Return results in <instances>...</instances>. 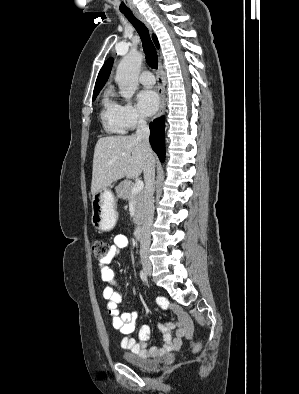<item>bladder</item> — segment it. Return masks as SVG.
Wrapping results in <instances>:
<instances>
[{
	"label": "bladder",
	"mask_w": 299,
	"mask_h": 394,
	"mask_svg": "<svg viewBox=\"0 0 299 394\" xmlns=\"http://www.w3.org/2000/svg\"><path fill=\"white\" fill-rule=\"evenodd\" d=\"M122 358L127 364L140 370H152L161 363L160 359H148L131 352L123 353Z\"/></svg>",
	"instance_id": "31cf9c89"
}]
</instances>
